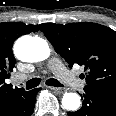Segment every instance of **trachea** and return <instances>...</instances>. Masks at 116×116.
<instances>
[{
    "instance_id": "1",
    "label": "trachea",
    "mask_w": 116,
    "mask_h": 116,
    "mask_svg": "<svg viewBox=\"0 0 116 116\" xmlns=\"http://www.w3.org/2000/svg\"><path fill=\"white\" fill-rule=\"evenodd\" d=\"M41 82V79L40 78H33L29 81L26 82V89L29 90V89H32L34 87H37ZM46 84L48 86H54V87H63V84H61L58 80L54 79V78H50L46 81Z\"/></svg>"
}]
</instances>
